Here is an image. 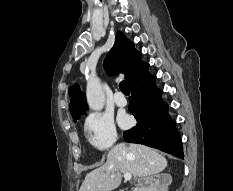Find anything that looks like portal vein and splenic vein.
Segmentation results:
<instances>
[{"mask_svg": "<svg viewBox=\"0 0 233 191\" xmlns=\"http://www.w3.org/2000/svg\"><path fill=\"white\" fill-rule=\"evenodd\" d=\"M131 178H132L131 173H129V172H124V179H125L126 181H130Z\"/></svg>", "mask_w": 233, "mask_h": 191, "instance_id": "18ae733b", "label": "portal vein and splenic vein"}]
</instances>
